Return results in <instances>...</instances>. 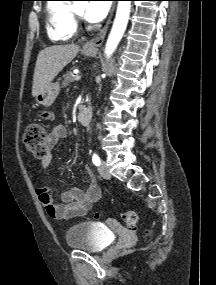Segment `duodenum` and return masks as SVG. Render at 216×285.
Here are the masks:
<instances>
[{
	"label": "duodenum",
	"mask_w": 216,
	"mask_h": 285,
	"mask_svg": "<svg viewBox=\"0 0 216 285\" xmlns=\"http://www.w3.org/2000/svg\"><path fill=\"white\" fill-rule=\"evenodd\" d=\"M79 121L82 125H88L92 119V111L89 107H82L78 114Z\"/></svg>",
	"instance_id": "duodenum-1"
}]
</instances>
